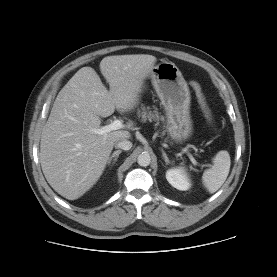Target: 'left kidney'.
I'll return each instance as SVG.
<instances>
[{"label": "left kidney", "instance_id": "1", "mask_svg": "<svg viewBox=\"0 0 277 277\" xmlns=\"http://www.w3.org/2000/svg\"><path fill=\"white\" fill-rule=\"evenodd\" d=\"M166 179L174 188L181 191H186L191 187L186 170L183 167L167 170Z\"/></svg>", "mask_w": 277, "mask_h": 277}]
</instances>
